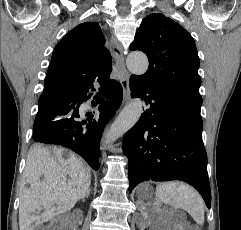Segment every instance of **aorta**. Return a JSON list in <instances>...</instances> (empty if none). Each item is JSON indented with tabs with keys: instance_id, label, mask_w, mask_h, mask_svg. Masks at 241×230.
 I'll return each instance as SVG.
<instances>
[{
	"instance_id": "1",
	"label": "aorta",
	"mask_w": 241,
	"mask_h": 230,
	"mask_svg": "<svg viewBox=\"0 0 241 230\" xmlns=\"http://www.w3.org/2000/svg\"><path fill=\"white\" fill-rule=\"evenodd\" d=\"M128 70L137 76L143 75L148 69V58L144 53L134 52L129 54L126 60ZM143 111L142 102L139 98L133 99L119 114L112 124L106 143H111L124 135L139 120Z\"/></svg>"
}]
</instances>
